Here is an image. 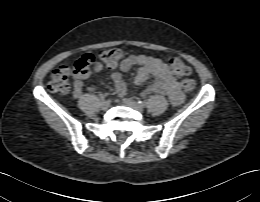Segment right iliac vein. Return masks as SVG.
Here are the masks:
<instances>
[{"mask_svg":"<svg viewBox=\"0 0 260 202\" xmlns=\"http://www.w3.org/2000/svg\"><path fill=\"white\" fill-rule=\"evenodd\" d=\"M100 106H101V108H102L103 110H106V109H108V107H109V103H108V101L103 100V101L100 103Z\"/></svg>","mask_w":260,"mask_h":202,"instance_id":"obj_1","label":"right iliac vein"}]
</instances>
